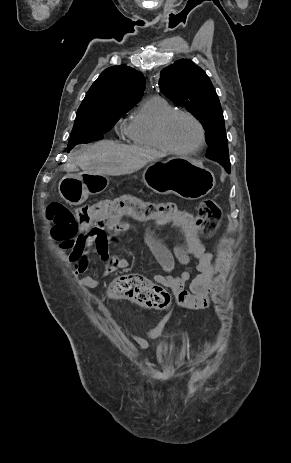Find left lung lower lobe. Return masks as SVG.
<instances>
[{"label": "left lung lower lobe", "mask_w": 291, "mask_h": 463, "mask_svg": "<svg viewBox=\"0 0 291 463\" xmlns=\"http://www.w3.org/2000/svg\"><path fill=\"white\" fill-rule=\"evenodd\" d=\"M216 162L220 163L225 168V170L228 173H230V162L222 161V160H219V159H216Z\"/></svg>", "instance_id": "left-lung-lower-lobe-1"}]
</instances>
